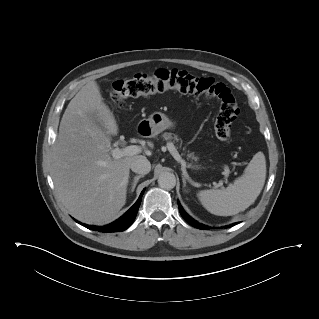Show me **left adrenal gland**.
Masks as SVG:
<instances>
[{
  "label": "left adrenal gland",
  "instance_id": "left-adrenal-gland-1",
  "mask_svg": "<svg viewBox=\"0 0 319 319\" xmlns=\"http://www.w3.org/2000/svg\"><path fill=\"white\" fill-rule=\"evenodd\" d=\"M182 180H183V187H186V178H185V176H183Z\"/></svg>",
  "mask_w": 319,
  "mask_h": 319
}]
</instances>
